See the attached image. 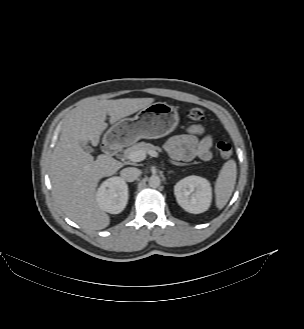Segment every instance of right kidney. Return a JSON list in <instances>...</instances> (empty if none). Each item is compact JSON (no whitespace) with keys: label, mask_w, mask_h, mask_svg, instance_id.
Returning a JSON list of instances; mask_svg holds the SVG:
<instances>
[{"label":"right kidney","mask_w":304,"mask_h":329,"mask_svg":"<svg viewBox=\"0 0 304 329\" xmlns=\"http://www.w3.org/2000/svg\"><path fill=\"white\" fill-rule=\"evenodd\" d=\"M96 200L102 210L118 214L128 202V186L122 178L111 177L103 181L98 188Z\"/></svg>","instance_id":"right-kidney-1"}]
</instances>
